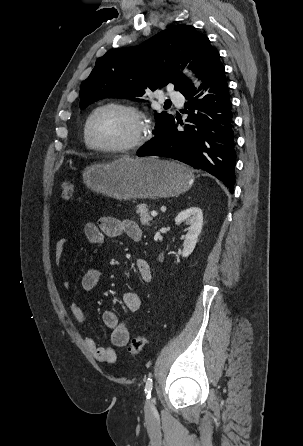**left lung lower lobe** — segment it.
<instances>
[{"label": "left lung lower lobe", "mask_w": 303, "mask_h": 446, "mask_svg": "<svg viewBox=\"0 0 303 446\" xmlns=\"http://www.w3.org/2000/svg\"><path fill=\"white\" fill-rule=\"evenodd\" d=\"M203 91L191 88L182 92L189 114L184 131H178L173 119L144 147L138 156H161L184 162L212 174L234 192L235 160L232 130V104L225 68L216 53L200 77ZM202 87L200 86L199 89ZM203 96L202 99H197Z\"/></svg>", "instance_id": "obj_1"}]
</instances>
